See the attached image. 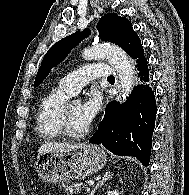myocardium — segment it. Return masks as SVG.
<instances>
[{
  "label": "myocardium",
  "instance_id": "1",
  "mask_svg": "<svg viewBox=\"0 0 189 195\" xmlns=\"http://www.w3.org/2000/svg\"><path fill=\"white\" fill-rule=\"evenodd\" d=\"M73 102L74 101H67L63 104L59 112L58 124L60 131L64 136L72 139H79L85 137L90 132L91 126L88 125V127L79 132H75L71 129L69 123V109Z\"/></svg>",
  "mask_w": 189,
  "mask_h": 195
}]
</instances>
